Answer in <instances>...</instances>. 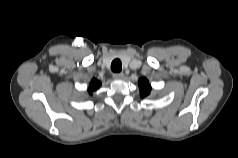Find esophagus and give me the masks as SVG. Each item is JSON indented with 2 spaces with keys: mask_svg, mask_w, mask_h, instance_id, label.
<instances>
[{
  "mask_svg": "<svg viewBox=\"0 0 238 158\" xmlns=\"http://www.w3.org/2000/svg\"><path fill=\"white\" fill-rule=\"evenodd\" d=\"M123 77H124V74H123L122 72L114 73V74H113V78H114V79H117V80L123 79Z\"/></svg>",
  "mask_w": 238,
  "mask_h": 158,
  "instance_id": "esophagus-1",
  "label": "esophagus"
}]
</instances>
